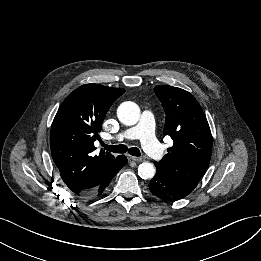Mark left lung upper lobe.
<instances>
[{
  "label": "left lung upper lobe",
  "instance_id": "1",
  "mask_svg": "<svg viewBox=\"0 0 261 261\" xmlns=\"http://www.w3.org/2000/svg\"><path fill=\"white\" fill-rule=\"evenodd\" d=\"M166 113L164 135L174 144L160 162H154L181 191L190 194L205 173L212 153L211 131L197 100L187 91L156 86Z\"/></svg>",
  "mask_w": 261,
  "mask_h": 261
}]
</instances>
